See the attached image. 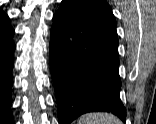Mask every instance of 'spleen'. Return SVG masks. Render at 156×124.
<instances>
[{
  "label": "spleen",
  "mask_w": 156,
  "mask_h": 124,
  "mask_svg": "<svg viewBox=\"0 0 156 124\" xmlns=\"http://www.w3.org/2000/svg\"><path fill=\"white\" fill-rule=\"evenodd\" d=\"M78 124H122L114 115L109 113H89L80 117Z\"/></svg>",
  "instance_id": "1"
}]
</instances>
